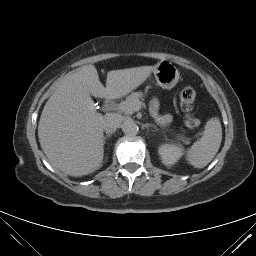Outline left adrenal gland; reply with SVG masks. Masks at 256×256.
<instances>
[{"label": "left adrenal gland", "mask_w": 256, "mask_h": 256, "mask_svg": "<svg viewBox=\"0 0 256 256\" xmlns=\"http://www.w3.org/2000/svg\"><path fill=\"white\" fill-rule=\"evenodd\" d=\"M143 127H146V128H148V127H153V128H155L154 125H150V124H144ZM156 129H157V128H156Z\"/></svg>", "instance_id": "1"}]
</instances>
